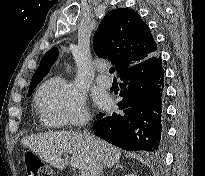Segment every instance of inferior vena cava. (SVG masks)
Here are the masks:
<instances>
[{"label":"inferior vena cava","mask_w":205,"mask_h":176,"mask_svg":"<svg viewBox=\"0 0 205 176\" xmlns=\"http://www.w3.org/2000/svg\"><path fill=\"white\" fill-rule=\"evenodd\" d=\"M88 119H86L84 121V124L87 123ZM84 136H85V139L86 141L92 146V147H96V142H95V139L90 136L88 133L84 132ZM99 176H102V172L100 171L99 173Z\"/></svg>","instance_id":"inferior-vena-cava-1"}]
</instances>
